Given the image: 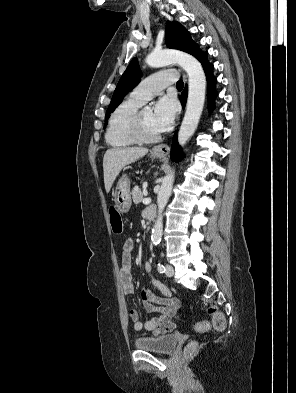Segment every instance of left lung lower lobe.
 <instances>
[{
  "label": "left lung lower lobe",
  "instance_id": "1",
  "mask_svg": "<svg viewBox=\"0 0 296 393\" xmlns=\"http://www.w3.org/2000/svg\"><path fill=\"white\" fill-rule=\"evenodd\" d=\"M207 55H208V53L206 52L198 60L202 63V66H203L204 71L206 73L207 83H208V103H209L208 108H209V110H212V108L214 106V99L217 96V93L215 91L216 78L213 76V73H212L213 65L208 62ZM186 99H187V88L184 89V91L182 92V95L180 97L183 107L185 106ZM180 152H181V148L178 145L177 136L175 135L173 137V143H172V147H171V159L173 161L178 162L181 158Z\"/></svg>",
  "mask_w": 296,
  "mask_h": 393
}]
</instances>
